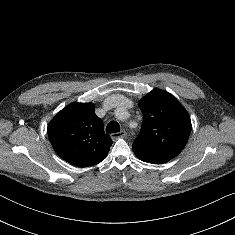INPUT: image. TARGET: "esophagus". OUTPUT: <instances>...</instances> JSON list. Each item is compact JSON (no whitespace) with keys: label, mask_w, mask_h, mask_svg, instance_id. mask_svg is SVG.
<instances>
[{"label":"esophagus","mask_w":235,"mask_h":235,"mask_svg":"<svg viewBox=\"0 0 235 235\" xmlns=\"http://www.w3.org/2000/svg\"><path fill=\"white\" fill-rule=\"evenodd\" d=\"M126 136V132L124 130L120 131V132H117V133H113L111 135V138L113 141L119 139V138H123Z\"/></svg>","instance_id":"esophagus-1"}]
</instances>
